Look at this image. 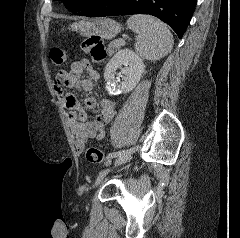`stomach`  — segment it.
I'll return each instance as SVG.
<instances>
[{"label":"stomach","mask_w":240,"mask_h":238,"mask_svg":"<svg viewBox=\"0 0 240 238\" xmlns=\"http://www.w3.org/2000/svg\"><path fill=\"white\" fill-rule=\"evenodd\" d=\"M121 30V25L113 19L102 18L93 22H82L81 27L76 30L81 36H99L102 39H111Z\"/></svg>","instance_id":"1"}]
</instances>
